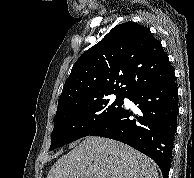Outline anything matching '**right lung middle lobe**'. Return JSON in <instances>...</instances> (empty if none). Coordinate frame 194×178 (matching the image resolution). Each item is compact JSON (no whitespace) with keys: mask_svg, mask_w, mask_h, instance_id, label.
<instances>
[{"mask_svg":"<svg viewBox=\"0 0 194 178\" xmlns=\"http://www.w3.org/2000/svg\"><path fill=\"white\" fill-rule=\"evenodd\" d=\"M123 99L117 96L112 102L103 95L57 110L50 150L88 136L122 109Z\"/></svg>","mask_w":194,"mask_h":178,"instance_id":"dd1d6c3e","label":"right lung middle lobe"}]
</instances>
